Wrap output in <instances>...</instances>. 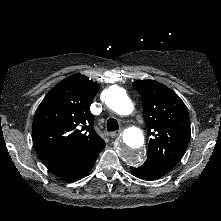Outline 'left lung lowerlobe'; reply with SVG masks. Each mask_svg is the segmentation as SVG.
Wrapping results in <instances>:
<instances>
[{
    "instance_id": "left-lung-lower-lobe-1",
    "label": "left lung lower lobe",
    "mask_w": 221,
    "mask_h": 221,
    "mask_svg": "<svg viewBox=\"0 0 221 221\" xmlns=\"http://www.w3.org/2000/svg\"><path fill=\"white\" fill-rule=\"evenodd\" d=\"M132 174L143 180H156L165 175L151 162H145L138 168L130 167Z\"/></svg>"
}]
</instances>
